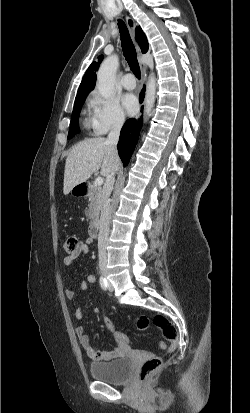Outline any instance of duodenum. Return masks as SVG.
<instances>
[{"label":"duodenum","instance_id":"duodenum-1","mask_svg":"<svg viewBox=\"0 0 250 413\" xmlns=\"http://www.w3.org/2000/svg\"><path fill=\"white\" fill-rule=\"evenodd\" d=\"M87 185L85 183L80 185V193L81 195H86ZM100 224L98 221H94L89 226V234L92 237H96L99 233Z\"/></svg>","mask_w":250,"mask_h":413}]
</instances>
